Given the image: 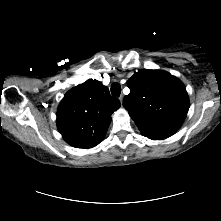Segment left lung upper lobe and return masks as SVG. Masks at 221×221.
<instances>
[{
  "label": "left lung upper lobe",
  "mask_w": 221,
  "mask_h": 221,
  "mask_svg": "<svg viewBox=\"0 0 221 221\" xmlns=\"http://www.w3.org/2000/svg\"><path fill=\"white\" fill-rule=\"evenodd\" d=\"M130 94L123 106L144 136L163 140L182 125L189 109L184 84L162 70L143 69L127 82Z\"/></svg>",
  "instance_id": "5c2ea615"
}]
</instances>
